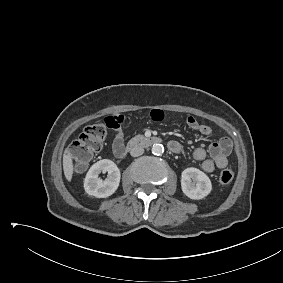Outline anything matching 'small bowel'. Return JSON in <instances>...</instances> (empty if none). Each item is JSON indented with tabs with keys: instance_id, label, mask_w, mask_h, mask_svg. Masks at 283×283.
<instances>
[{
	"instance_id": "1",
	"label": "small bowel",
	"mask_w": 283,
	"mask_h": 283,
	"mask_svg": "<svg viewBox=\"0 0 283 283\" xmlns=\"http://www.w3.org/2000/svg\"><path fill=\"white\" fill-rule=\"evenodd\" d=\"M163 112L159 109H153L150 112V117L154 121H161L163 119ZM108 127L114 131L113 140V152L116 157L122 158V151L124 148L125 134L121 127L124 121L123 115H112L105 119ZM188 127L204 136H210L212 134V129L207 124L199 122L193 116H189L186 119ZM169 148L173 153H180L182 151V145L176 141H171L169 143ZM232 151V142L230 138L223 136L218 141L210 144L208 149L199 147L194 150L193 158L201 162V169L204 172L211 173L216 168H225L228 164V156Z\"/></svg>"
}]
</instances>
